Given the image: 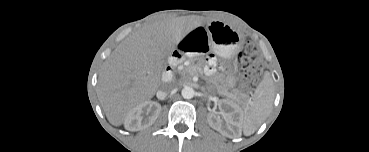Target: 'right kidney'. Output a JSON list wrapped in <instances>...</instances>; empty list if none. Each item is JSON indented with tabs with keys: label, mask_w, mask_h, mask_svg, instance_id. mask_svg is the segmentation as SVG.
I'll return each instance as SVG.
<instances>
[{
	"label": "right kidney",
	"mask_w": 369,
	"mask_h": 152,
	"mask_svg": "<svg viewBox=\"0 0 369 152\" xmlns=\"http://www.w3.org/2000/svg\"><path fill=\"white\" fill-rule=\"evenodd\" d=\"M161 105L145 101L134 107L126 116L125 126L129 131H139L150 127L158 118Z\"/></svg>",
	"instance_id": "right-kidney-1"
}]
</instances>
